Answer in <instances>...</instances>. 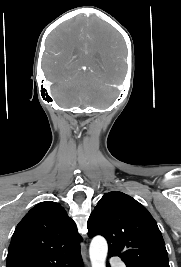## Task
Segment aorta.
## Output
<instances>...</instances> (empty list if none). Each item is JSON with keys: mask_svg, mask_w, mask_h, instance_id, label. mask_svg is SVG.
I'll list each match as a JSON object with an SVG mask.
<instances>
[{"mask_svg": "<svg viewBox=\"0 0 181 267\" xmlns=\"http://www.w3.org/2000/svg\"><path fill=\"white\" fill-rule=\"evenodd\" d=\"M108 245L106 240L101 236H96L92 239L89 255L92 267H105Z\"/></svg>", "mask_w": 181, "mask_h": 267, "instance_id": "aorta-1", "label": "aorta"}]
</instances>
